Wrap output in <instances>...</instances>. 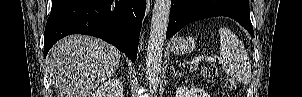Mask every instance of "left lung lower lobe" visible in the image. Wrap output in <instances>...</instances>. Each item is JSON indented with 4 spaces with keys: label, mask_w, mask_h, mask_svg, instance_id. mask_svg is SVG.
Returning <instances> with one entry per match:
<instances>
[{
    "label": "left lung lower lobe",
    "mask_w": 302,
    "mask_h": 97,
    "mask_svg": "<svg viewBox=\"0 0 302 97\" xmlns=\"http://www.w3.org/2000/svg\"><path fill=\"white\" fill-rule=\"evenodd\" d=\"M227 16L240 23L253 36L249 0H172L166 38L186 24L214 17Z\"/></svg>",
    "instance_id": "0a47b994"
}]
</instances>
